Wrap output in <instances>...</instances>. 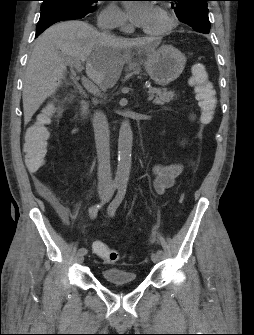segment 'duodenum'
I'll return each instance as SVG.
<instances>
[{
	"label": "duodenum",
	"mask_w": 254,
	"mask_h": 335,
	"mask_svg": "<svg viewBox=\"0 0 254 335\" xmlns=\"http://www.w3.org/2000/svg\"><path fill=\"white\" fill-rule=\"evenodd\" d=\"M86 111V107L84 105L81 106V113L84 114Z\"/></svg>",
	"instance_id": "410a0bca"
}]
</instances>
